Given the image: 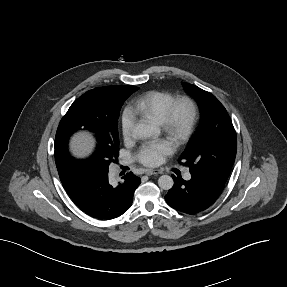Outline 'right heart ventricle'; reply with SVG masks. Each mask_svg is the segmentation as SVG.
<instances>
[{"mask_svg": "<svg viewBox=\"0 0 287 287\" xmlns=\"http://www.w3.org/2000/svg\"><path fill=\"white\" fill-rule=\"evenodd\" d=\"M175 100L173 94L165 91H149L137 97L132 103V111L141 117L161 123L170 104Z\"/></svg>", "mask_w": 287, "mask_h": 287, "instance_id": "e07e8e85", "label": "right heart ventricle"}]
</instances>
